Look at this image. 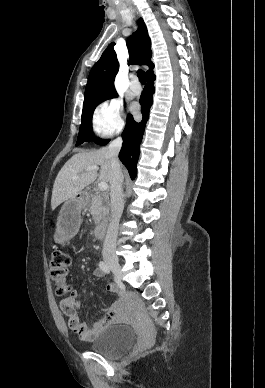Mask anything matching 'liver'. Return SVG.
Masks as SVG:
<instances>
[{
	"label": "liver",
	"instance_id": "obj_1",
	"mask_svg": "<svg viewBox=\"0 0 265 388\" xmlns=\"http://www.w3.org/2000/svg\"><path fill=\"white\" fill-rule=\"evenodd\" d=\"M108 148H101L95 152H84V154H75L65 166L61 168L53 186L51 208L55 210L62 202L76 198L81 190H84L95 180L101 182H110L111 164L107 158ZM89 166H101L100 174L97 170L93 172H84ZM77 176L76 180H73Z\"/></svg>",
	"mask_w": 265,
	"mask_h": 388
}]
</instances>
